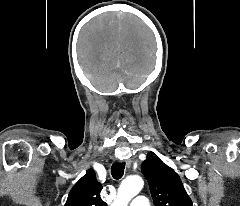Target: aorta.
<instances>
[{"mask_svg":"<svg viewBox=\"0 0 240 206\" xmlns=\"http://www.w3.org/2000/svg\"><path fill=\"white\" fill-rule=\"evenodd\" d=\"M144 182L140 176H129L125 178L118 188L117 199L113 206H128V203L143 188Z\"/></svg>","mask_w":240,"mask_h":206,"instance_id":"obj_1","label":"aorta"}]
</instances>
